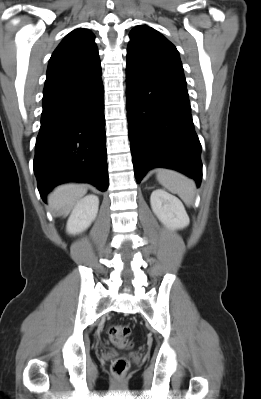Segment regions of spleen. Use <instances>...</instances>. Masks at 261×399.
<instances>
[{"instance_id":"obj_1","label":"spleen","mask_w":261,"mask_h":399,"mask_svg":"<svg viewBox=\"0 0 261 399\" xmlns=\"http://www.w3.org/2000/svg\"><path fill=\"white\" fill-rule=\"evenodd\" d=\"M157 180L172 193L178 194L187 204L192 205L195 199V183L184 175L169 169H158Z\"/></svg>"}]
</instances>
